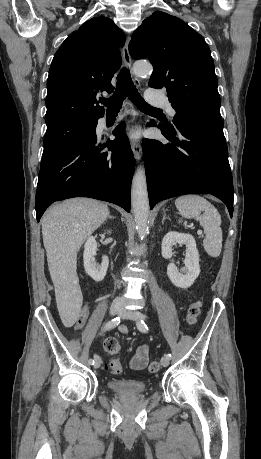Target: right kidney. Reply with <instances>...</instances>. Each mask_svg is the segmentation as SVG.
<instances>
[{
	"instance_id": "1",
	"label": "right kidney",
	"mask_w": 261,
	"mask_h": 459,
	"mask_svg": "<svg viewBox=\"0 0 261 459\" xmlns=\"http://www.w3.org/2000/svg\"><path fill=\"white\" fill-rule=\"evenodd\" d=\"M110 233V231H109ZM97 250V243L93 236L89 237L84 245V268L86 273L96 282H100L106 276L109 265L107 256L102 258L101 264H96L95 255Z\"/></svg>"
}]
</instances>
